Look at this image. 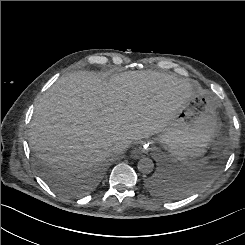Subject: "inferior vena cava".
Segmentation results:
<instances>
[{
	"instance_id": "inferior-vena-cava-1",
	"label": "inferior vena cava",
	"mask_w": 245,
	"mask_h": 245,
	"mask_svg": "<svg viewBox=\"0 0 245 245\" xmlns=\"http://www.w3.org/2000/svg\"><path fill=\"white\" fill-rule=\"evenodd\" d=\"M127 144L125 142H120V143H117L113 148V152L114 153H121L123 152L126 148H127Z\"/></svg>"
}]
</instances>
